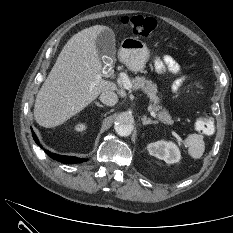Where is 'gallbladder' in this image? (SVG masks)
Listing matches in <instances>:
<instances>
[{
    "label": "gallbladder",
    "instance_id": "1",
    "mask_svg": "<svg viewBox=\"0 0 233 233\" xmlns=\"http://www.w3.org/2000/svg\"><path fill=\"white\" fill-rule=\"evenodd\" d=\"M96 49L100 58L108 56L114 58L116 54V44H115V35L112 29L105 28L101 31L96 40Z\"/></svg>",
    "mask_w": 233,
    "mask_h": 233
}]
</instances>
